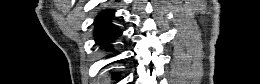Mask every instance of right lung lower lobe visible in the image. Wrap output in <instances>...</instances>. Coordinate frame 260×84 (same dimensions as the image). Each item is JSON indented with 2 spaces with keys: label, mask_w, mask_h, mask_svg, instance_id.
I'll list each match as a JSON object with an SVG mask.
<instances>
[{
  "label": "right lung lower lobe",
  "mask_w": 260,
  "mask_h": 84,
  "mask_svg": "<svg viewBox=\"0 0 260 84\" xmlns=\"http://www.w3.org/2000/svg\"><path fill=\"white\" fill-rule=\"evenodd\" d=\"M112 11H103L100 13L94 22L95 32L94 37L95 41L102 48L107 51L112 50L111 43L121 35V31L117 29L112 23ZM114 78L118 77V74H113Z\"/></svg>",
  "instance_id": "98d812e1"
}]
</instances>
